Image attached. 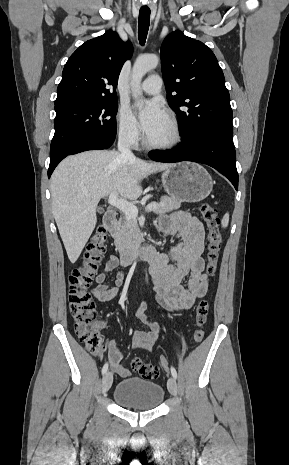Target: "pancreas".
I'll list each match as a JSON object with an SVG mask.
<instances>
[{
    "label": "pancreas",
    "instance_id": "cf45deb5",
    "mask_svg": "<svg viewBox=\"0 0 289 465\" xmlns=\"http://www.w3.org/2000/svg\"><path fill=\"white\" fill-rule=\"evenodd\" d=\"M156 204L157 208L153 210L156 214L167 213L179 209L181 206L179 201L167 196H162L161 203ZM112 236L114 238L116 248L121 252L133 249L134 246L142 240V235L138 228L136 218H130L128 216H124L117 222Z\"/></svg>",
    "mask_w": 289,
    "mask_h": 465
}]
</instances>
